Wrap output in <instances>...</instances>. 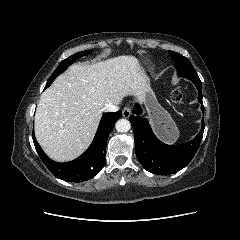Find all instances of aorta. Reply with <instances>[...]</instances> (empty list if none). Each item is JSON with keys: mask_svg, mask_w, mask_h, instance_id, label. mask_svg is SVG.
Wrapping results in <instances>:
<instances>
[{"mask_svg": "<svg viewBox=\"0 0 240 240\" xmlns=\"http://www.w3.org/2000/svg\"><path fill=\"white\" fill-rule=\"evenodd\" d=\"M115 128L120 133L128 132L131 128V123L127 119H119L116 124Z\"/></svg>", "mask_w": 240, "mask_h": 240, "instance_id": "obj_1", "label": "aorta"}]
</instances>
